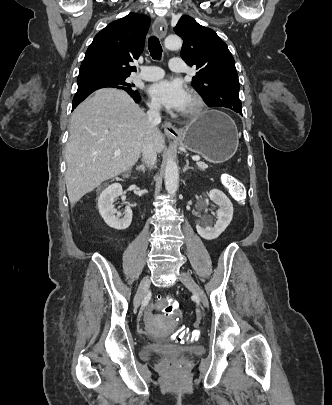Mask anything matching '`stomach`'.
Returning a JSON list of instances; mask_svg holds the SVG:
<instances>
[{
  "label": "stomach",
  "mask_w": 332,
  "mask_h": 405,
  "mask_svg": "<svg viewBox=\"0 0 332 405\" xmlns=\"http://www.w3.org/2000/svg\"><path fill=\"white\" fill-rule=\"evenodd\" d=\"M174 139L187 150L215 164L228 161L238 149L237 128L233 120L216 110L200 114Z\"/></svg>",
  "instance_id": "1"
}]
</instances>
